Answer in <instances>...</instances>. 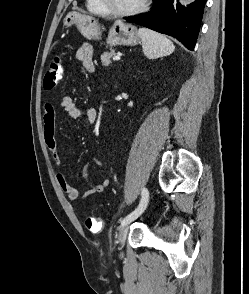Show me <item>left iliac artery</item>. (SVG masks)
Here are the masks:
<instances>
[{
    "mask_svg": "<svg viewBox=\"0 0 249 294\" xmlns=\"http://www.w3.org/2000/svg\"><path fill=\"white\" fill-rule=\"evenodd\" d=\"M141 201L140 204L138 205V207L130 214H128L121 222V226H124L128 223H130L131 221L137 219L146 209L147 204H148V200H149V193L148 190L146 188H142V192H141Z\"/></svg>",
    "mask_w": 249,
    "mask_h": 294,
    "instance_id": "obj_1",
    "label": "left iliac artery"
}]
</instances>
